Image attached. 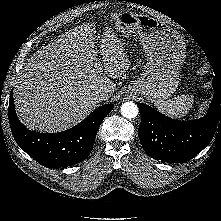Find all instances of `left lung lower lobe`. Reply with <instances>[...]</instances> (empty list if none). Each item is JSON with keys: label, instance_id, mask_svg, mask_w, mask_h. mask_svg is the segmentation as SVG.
Segmentation results:
<instances>
[{"label": "left lung lower lobe", "instance_id": "obj_1", "mask_svg": "<svg viewBox=\"0 0 221 221\" xmlns=\"http://www.w3.org/2000/svg\"><path fill=\"white\" fill-rule=\"evenodd\" d=\"M214 96L207 114L198 120L169 118L137 103L141 124L138 136L145 152L161 162L184 163L202 151L221 127V82L213 79Z\"/></svg>", "mask_w": 221, "mask_h": 221}]
</instances>
